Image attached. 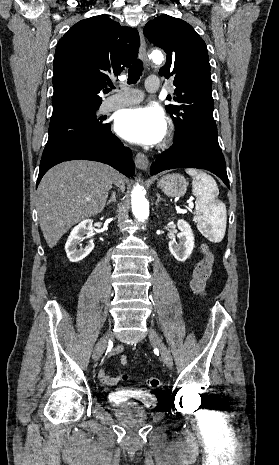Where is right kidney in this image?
I'll return each mask as SVG.
<instances>
[{
	"label": "right kidney",
	"instance_id": "obj_1",
	"mask_svg": "<svg viewBox=\"0 0 279 465\" xmlns=\"http://www.w3.org/2000/svg\"><path fill=\"white\" fill-rule=\"evenodd\" d=\"M92 233L93 220L91 219L83 220L72 229L65 244V251L71 262H79L83 260L94 249V243L92 240L89 241L85 248H80L79 250L76 248L79 241L83 240L85 237H91Z\"/></svg>",
	"mask_w": 279,
	"mask_h": 465
}]
</instances>
